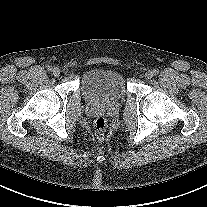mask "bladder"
<instances>
[{"mask_svg": "<svg viewBox=\"0 0 207 207\" xmlns=\"http://www.w3.org/2000/svg\"><path fill=\"white\" fill-rule=\"evenodd\" d=\"M84 95L94 102H116L127 94L124 75L112 68H96L88 71L81 83Z\"/></svg>", "mask_w": 207, "mask_h": 207, "instance_id": "bladder-1", "label": "bladder"}]
</instances>
